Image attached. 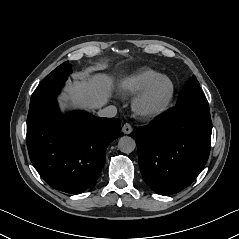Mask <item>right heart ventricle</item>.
<instances>
[{"instance_id":"right-heart-ventricle-1","label":"right heart ventricle","mask_w":239,"mask_h":239,"mask_svg":"<svg viewBox=\"0 0 239 239\" xmlns=\"http://www.w3.org/2000/svg\"><path fill=\"white\" fill-rule=\"evenodd\" d=\"M158 75L159 73L154 70L142 69L123 79L120 89L126 95H136Z\"/></svg>"}]
</instances>
